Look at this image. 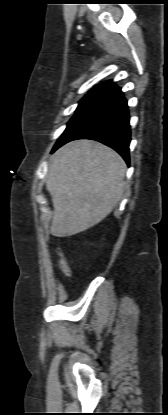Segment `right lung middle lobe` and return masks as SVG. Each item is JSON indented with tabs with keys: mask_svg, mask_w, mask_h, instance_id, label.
<instances>
[{
	"mask_svg": "<svg viewBox=\"0 0 168 415\" xmlns=\"http://www.w3.org/2000/svg\"><path fill=\"white\" fill-rule=\"evenodd\" d=\"M98 97V95H94V94H86L82 100L79 102V105L77 107L76 113L83 108L85 105H87L89 102H91L92 100L96 99Z\"/></svg>",
	"mask_w": 168,
	"mask_h": 415,
	"instance_id": "right-lung-middle-lobe-1",
	"label": "right lung middle lobe"
}]
</instances>
